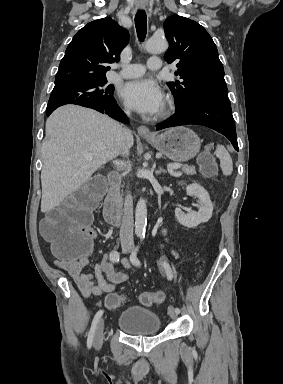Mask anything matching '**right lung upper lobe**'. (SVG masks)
<instances>
[{"mask_svg":"<svg viewBox=\"0 0 283 384\" xmlns=\"http://www.w3.org/2000/svg\"><path fill=\"white\" fill-rule=\"evenodd\" d=\"M128 39L127 30L111 18L88 23L68 45L59 65L55 87L106 79L108 65L119 61V53Z\"/></svg>","mask_w":283,"mask_h":384,"instance_id":"cb5924a9","label":"right lung upper lobe"}]
</instances>
